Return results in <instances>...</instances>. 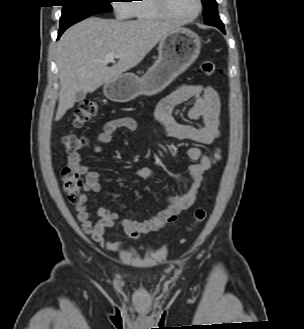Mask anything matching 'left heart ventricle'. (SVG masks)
<instances>
[{
	"instance_id": "1",
	"label": "left heart ventricle",
	"mask_w": 304,
	"mask_h": 329,
	"mask_svg": "<svg viewBox=\"0 0 304 329\" xmlns=\"http://www.w3.org/2000/svg\"><path fill=\"white\" fill-rule=\"evenodd\" d=\"M170 9L179 16H192L198 9L197 0H168Z\"/></svg>"
}]
</instances>
